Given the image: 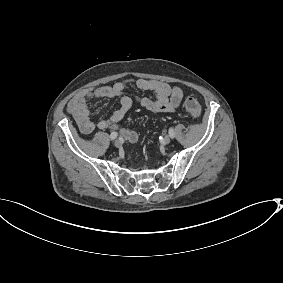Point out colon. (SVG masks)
I'll use <instances>...</instances> for the list:
<instances>
[{
	"instance_id": "1",
	"label": "colon",
	"mask_w": 283,
	"mask_h": 283,
	"mask_svg": "<svg viewBox=\"0 0 283 283\" xmlns=\"http://www.w3.org/2000/svg\"><path fill=\"white\" fill-rule=\"evenodd\" d=\"M185 109L194 118L199 117L202 112L200 102L193 97H189L185 100ZM123 134L128 138H137L136 134L130 131H124Z\"/></svg>"
}]
</instances>
